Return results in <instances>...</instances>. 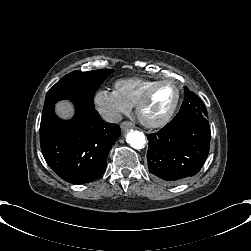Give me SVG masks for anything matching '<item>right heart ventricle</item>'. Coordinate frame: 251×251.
<instances>
[{"mask_svg":"<svg viewBox=\"0 0 251 251\" xmlns=\"http://www.w3.org/2000/svg\"><path fill=\"white\" fill-rule=\"evenodd\" d=\"M157 79L150 76H134L117 79L114 91L126 103L135 106L145 90Z\"/></svg>","mask_w":251,"mask_h":251,"instance_id":"obj_1","label":"right heart ventricle"}]
</instances>
